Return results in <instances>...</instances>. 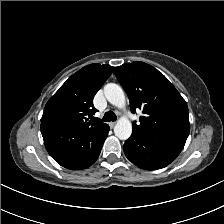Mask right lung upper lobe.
<instances>
[{
	"mask_svg": "<svg viewBox=\"0 0 224 224\" xmlns=\"http://www.w3.org/2000/svg\"><path fill=\"white\" fill-rule=\"evenodd\" d=\"M113 67L110 65L90 64L72 75L49 99L41 122L55 121L69 127L93 129L104 123H92L87 115L97 110L93 98L107 78Z\"/></svg>",
	"mask_w": 224,
	"mask_h": 224,
	"instance_id": "cb5924a9",
	"label": "right lung upper lobe"
}]
</instances>
